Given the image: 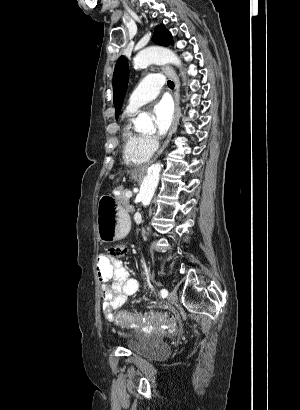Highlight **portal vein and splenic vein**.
<instances>
[{
    "instance_id": "1",
    "label": "portal vein and splenic vein",
    "mask_w": 300,
    "mask_h": 410,
    "mask_svg": "<svg viewBox=\"0 0 300 410\" xmlns=\"http://www.w3.org/2000/svg\"><path fill=\"white\" fill-rule=\"evenodd\" d=\"M125 195H126L127 198H131V197H132V192H131V191H127Z\"/></svg>"
}]
</instances>
